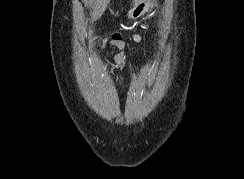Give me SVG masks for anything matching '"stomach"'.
I'll return each mask as SVG.
<instances>
[{
    "label": "stomach",
    "mask_w": 244,
    "mask_h": 179,
    "mask_svg": "<svg viewBox=\"0 0 244 179\" xmlns=\"http://www.w3.org/2000/svg\"><path fill=\"white\" fill-rule=\"evenodd\" d=\"M147 2H148V0H139L138 4H136V6H134L133 10H130L129 18H142L144 12H147V11L143 12V10H140V8H146ZM150 6H152V5H150Z\"/></svg>",
    "instance_id": "1"
}]
</instances>
